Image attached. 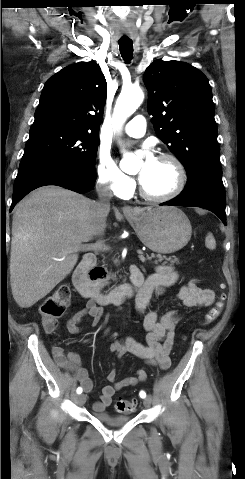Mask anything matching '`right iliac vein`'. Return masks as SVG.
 I'll use <instances>...</instances> for the list:
<instances>
[{
  "label": "right iliac vein",
  "mask_w": 245,
  "mask_h": 479,
  "mask_svg": "<svg viewBox=\"0 0 245 479\" xmlns=\"http://www.w3.org/2000/svg\"><path fill=\"white\" fill-rule=\"evenodd\" d=\"M85 401H86V396L84 394L77 396V402L79 405H83Z\"/></svg>",
  "instance_id": "right-iliac-vein-1"
}]
</instances>
